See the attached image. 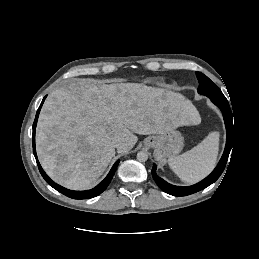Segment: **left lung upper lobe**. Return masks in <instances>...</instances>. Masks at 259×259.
<instances>
[{"mask_svg":"<svg viewBox=\"0 0 259 259\" xmlns=\"http://www.w3.org/2000/svg\"><path fill=\"white\" fill-rule=\"evenodd\" d=\"M199 87L198 93L206 95L207 97H222L224 96L221 90L213 83L207 76L200 72H196Z\"/></svg>","mask_w":259,"mask_h":259,"instance_id":"obj_1","label":"left lung upper lobe"}]
</instances>
